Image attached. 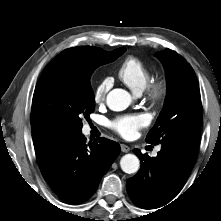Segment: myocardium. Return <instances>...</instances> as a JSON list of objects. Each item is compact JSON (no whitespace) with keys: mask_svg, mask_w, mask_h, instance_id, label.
Masks as SVG:
<instances>
[{"mask_svg":"<svg viewBox=\"0 0 221 221\" xmlns=\"http://www.w3.org/2000/svg\"><path fill=\"white\" fill-rule=\"evenodd\" d=\"M147 99L153 105L163 104L169 94V84L165 78H156L148 82L145 87Z\"/></svg>","mask_w":221,"mask_h":221,"instance_id":"f54148a6","label":"myocardium"}]
</instances>
